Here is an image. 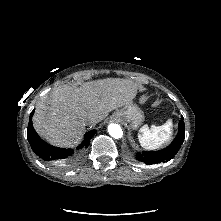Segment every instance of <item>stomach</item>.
<instances>
[{"mask_svg": "<svg viewBox=\"0 0 221 221\" xmlns=\"http://www.w3.org/2000/svg\"><path fill=\"white\" fill-rule=\"evenodd\" d=\"M112 117L120 122H129L133 128H137L144 121L143 112L132 103L116 110Z\"/></svg>", "mask_w": 221, "mask_h": 221, "instance_id": "1", "label": "stomach"}]
</instances>
